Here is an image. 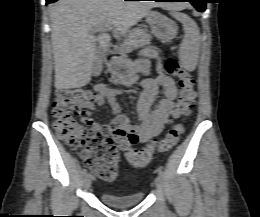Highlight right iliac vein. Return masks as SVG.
I'll use <instances>...</instances> for the list:
<instances>
[{
	"instance_id": "right-iliac-vein-1",
	"label": "right iliac vein",
	"mask_w": 260,
	"mask_h": 217,
	"mask_svg": "<svg viewBox=\"0 0 260 217\" xmlns=\"http://www.w3.org/2000/svg\"><path fill=\"white\" fill-rule=\"evenodd\" d=\"M91 184H92L91 176L87 174V175L84 177V187H85V189H86V190L90 189Z\"/></svg>"
}]
</instances>
